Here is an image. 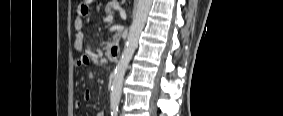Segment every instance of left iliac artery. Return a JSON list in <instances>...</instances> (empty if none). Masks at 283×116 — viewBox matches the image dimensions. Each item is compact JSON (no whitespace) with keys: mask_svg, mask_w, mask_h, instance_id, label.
<instances>
[{"mask_svg":"<svg viewBox=\"0 0 283 116\" xmlns=\"http://www.w3.org/2000/svg\"><path fill=\"white\" fill-rule=\"evenodd\" d=\"M118 112H119V104H118V102L111 103V115L112 116H117Z\"/></svg>","mask_w":283,"mask_h":116,"instance_id":"left-iliac-artery-1","label":"left iliac artery"}]
</instances>
